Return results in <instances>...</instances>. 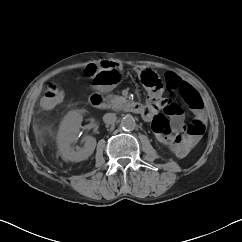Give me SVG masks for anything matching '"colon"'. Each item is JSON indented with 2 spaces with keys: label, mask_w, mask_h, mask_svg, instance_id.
<instances>
[{
  "label": "colon",
  "mask_w": 242,
  "mask_h": 242,
  "mask_svg": "<svg viewBox=\"0 0 242 242\" xmlns=\"http://www.w3.org/2000/svg\"><path fill=\"white\" fill-rule=\"evenodd\" d=\"M82 75L86 79H91L94 85L105 87L117 83L120 80V72L115 69H108L96 63L88 64ZM141 81L143 85L152 93L159 92L162 83L155 73L143 74ZM167 85L170 89L177 90L183 100L192 108L199 109L202 107L201 98L196 89L186 82H180L179 79L169 75L166 78ZM64 91L54 84L47 86L42 97L41 103L45 108H51L62 102L64 99ZM197 133H203V129L199 123L196 124ZM152 128L154 132L160 136H166L169 133V123L162 114H156L153 117Z\"/></svg>",
  "instance_id": "5ec220e1"
}]
</instances>
